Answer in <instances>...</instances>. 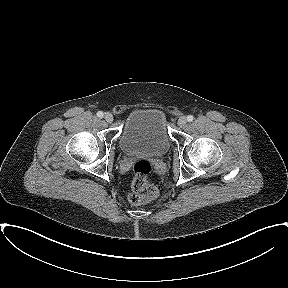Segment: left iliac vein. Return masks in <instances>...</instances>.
<instances>
[{
    "label": "left iliac vein",
    "instance_id": "obj_1",
    "mask_svg": "<svg viewBox=\"0 0 288 288\" xmlns=\"http://www.w3.org/2000/svg\"><path fill=\"white\" fill-rule=\"evenodd\" d=\"M186 123H187V118H186L185 116H182V117L179 118V120H178V125H179L180 127L185 126Z\"/></svg>",
    "mask_w": 288,
    "mask_h": 288
}]
</instances>
